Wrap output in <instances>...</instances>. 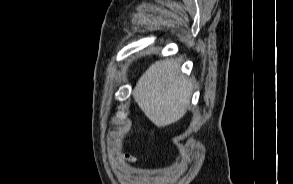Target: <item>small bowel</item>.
Wrapping results in <instances>:
<instances>
[{
    "label": "small bowel",
    "instance_id": "c3829d8e",
    "mask_svg": "<svg viewBox=\"0 0 293 184\" xmlns=\"http://www.w3.org/2000/svg\"><path fill=\"white\" fill-rule=\"evenodd\" d=\"M115 170L119 173V174H123V169H122V165L121 163H116L114 166Z\"/></svg>",
    "mask_w": 293,
    "mask_h": 184
}]
</instances>
